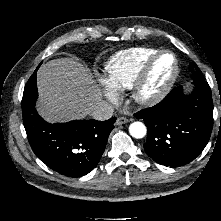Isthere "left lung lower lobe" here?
Listing matches in <instances>:
<instances>
[{"label": "left lung lower lobe", "instance_id": "1", "mask_svg": "<svg viewBox=\"0 0 221 221\" xmlns=\"http://www.w3.org/2000/svg\"><path fill=\"white\" fill-rule=\"evenodd\" d=\"M186 96L174 88L160 103L135 114L148 132L145 152L159 164L179 167L194 160L205 148L213 126L211 89L205 78L194 80Z\"/></svg>", "mask_w": 221, "mask_h": 221}]
</instances>
